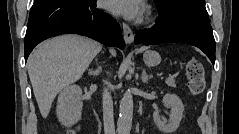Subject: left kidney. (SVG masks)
Wrapping results in <instances>:
<instances>
[{"label":"left kidney","instance_id":"5707ae66","mask_svg":"<svg viewBox=\"0 0 239 134\" xmlns=\"http://www.w3.org/2000/svg\"><path fill=\"white\" fill-rule=\"evenodd\" d=\"M163 104L170 108L169 119L161 117L159 111L153 113V120L156 126L164 134H172L177 130L183 118L184 106L181 99L175 94H166L163 97Z\"/></svg>","mask_w":239,"mask_h":134}]
</instances>
